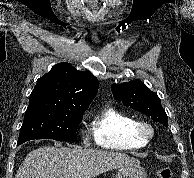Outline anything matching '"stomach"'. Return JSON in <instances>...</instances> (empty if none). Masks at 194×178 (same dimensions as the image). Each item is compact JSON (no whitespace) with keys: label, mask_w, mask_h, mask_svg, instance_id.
<instances>
[{"label":"stomach","mask_w":194,"mask_h":178,"mask_svg":"<svg viewBox=\"0 0 194 178\" xmlns=\"http://www.w3.org/2000/svg\"><path fill=\"white\" fill-rule=\"evenodd\" d=\"M116 178H147V174L140 165H133L120 169Z\"/></svg>","instance_id":"stomach-1"}]
</instances>
